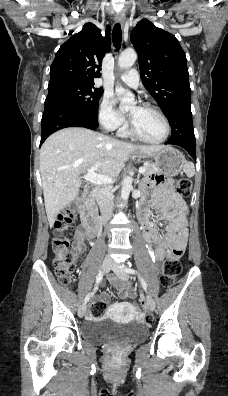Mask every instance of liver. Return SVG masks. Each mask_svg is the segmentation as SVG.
Segmentation results:
<instances>
[{"label": "liver", "instance_id": "obj_1", "mask_svg": "<svg viewBox=\"0 0 228 396\" xmlns=\"http://www.w3.org/2000/svg\"><path fill=\"white\" fill-rule=\"evenodd\" d=\"M165 147L137 146L81 127L52 134L40 149V173L50 227L58 213L78 195L80 174L99 163L95 169L99 175L116 177L133 152L152 153Z\"/></svg>", "mask_w": 228, "mask_h": 396}]
</instances>
